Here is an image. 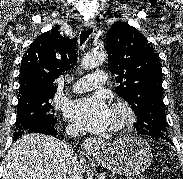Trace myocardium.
<instances>
[{
    "label": "myocardium",
    "mask_w": 183,
    "mask_h": 179,
    "mask_svg": "<svg viewBox=\"0 0 183 179\" xmlns=\"http://www.w3.org/2000/svg\"><path fill=\"white\" fill-rule=\"evenodd\" d=\"M112 109L121 114L120 120L111 126L110 130L112 132H122L130 129L134 125L136 115L133 108L127 102L122 100L115 101L112 104Z\"/></svg>",
    "instance_id": "myocardium-1"
}]
</instances>
